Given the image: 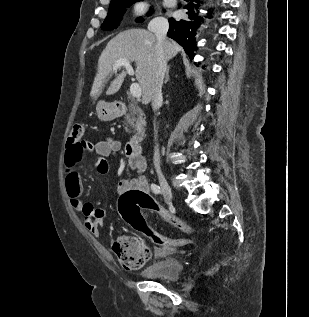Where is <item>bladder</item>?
Segmentation results:
<instances>
[{
    "label": "bladder",
    "instance_id": "bladder-1",
    "mask_svg": "<svg viewBox=\"0 0 309 317\" xmlns=\"http://www.w3.org/2000/svg\"><path fill=\"white\" fill-rule=\"evenodd\" d=\"M183 271L182 262L175 257H167L153 262L142 273L146 279L176 281Z\"/></svg>",
    "mask_w": 309,
    "mask_h": 317
}]
</instances>
